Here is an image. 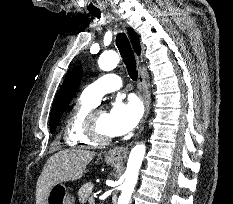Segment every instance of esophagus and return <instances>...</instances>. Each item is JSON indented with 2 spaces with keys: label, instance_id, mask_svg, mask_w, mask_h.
Listing matches in <instances>:
<instances>
[{
  "label": "esophagus",
  "instance_id": "esophagus-1",
  "mask_svg": "<svg viewBox=\"0 0 233 204\" xmlns=\"http://www.w3.org/2000/svg\"><path fill=\"white\" fill-rule=\"evenodd\" d=\"M138 88L140 90L142 101L145 106V115H144V122H145V120L148 118L150 114L151 97L141 66L138 67ZM127 150H128L127 147H123V146L116 147L110 150L106 154V158L113 161H122L127 156Z\"/></svg>",
  "mask_w": 233,
  "mask_h": 204
}]
</instances>
